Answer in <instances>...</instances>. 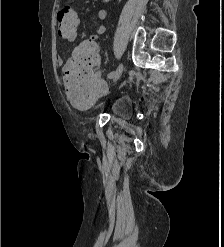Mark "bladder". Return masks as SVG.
<instances>
[{"instance_id":"obj_1","label":"bladder","mask_w":224,"mask_h":247,"mask_svg":"<svg viewBox=\"0 0 224 247\" xmlns=\"http://www.w3.org/2000/svg\"><path fill=\"white\" fill-rule=\"evenodd\" d=\"M103 109L112 116L126 120L132 117L133 103L130 96L121 94L111 99Z\"/></svg>"}]
</instances>
